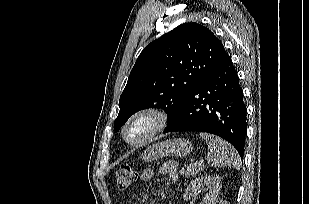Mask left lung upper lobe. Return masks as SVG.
Wrapping results in <instances>:
<instances>
[{
    "label": "left lung upper lobe",
    "mask_w": 309,
    "mask_h": 204,
    "mask_svg": "<svg viewBox=\"0 0 309 204\" xmlns=\"http://www.w3.org/2000/svg\"><path fill=\"white\" fill-rule=\"evenodd\" d=\"M225 55L217 37L197 23L181 24L152 41L136 60L120 96L115 131L147 108L163 109L169 121Z\"/></svg>",
    "instance_id": "5c2ea615"
}]
</instances>
